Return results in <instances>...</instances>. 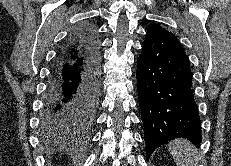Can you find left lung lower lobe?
<instances>
[{
	"label": "left lung lower lobe",
	"mask_w": 231,
	"mask_h": 166,
	"mask_svg": "<svg viewBox=\"0 0 231 166\" xmlns=\"http://www.w3.org/2000/svg\"><path fill=\"white\" fill-rule=\"evenodd\" d=\"M136 77L146 154L177 137L199 145L201 121L192 73L186 53L173 33L157 26L148 28Z\"/></svg>",
	"instance_id": "0a47b994"
}]
</instances>
